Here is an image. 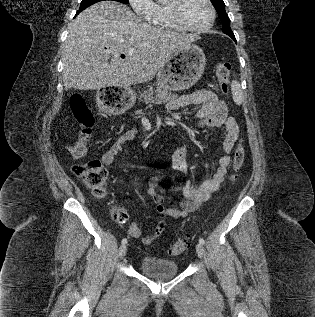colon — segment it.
<instances>
[{"label": "colon", "instance_id": "colon-1", "mask_svg": "<svg viewBox=\"0 0 315 317\" xmlns=\"http://www.w3.org/2000/svg\"><path fill=\"white\" fill-rule=\"evenodd\" d=\"M230 71L231 66L229 63H218L215 68L219 88L224 95L228 94ZM102 97H106V95H100V100ZM70 105L79 130L74 141L68 145V151L74 158H82L87 153V146L91 137L94 120L90 109L81 96H74L71 99ZM244 160V146L239 142L233 157V172L230 177L232 181L237 179L238 173L243 167ZM73 171L94 195L99 197L105 195L107 171L99 160H90L84 163L75 164L73 165ZM112 217L119 224L125 223L128 218L126 211L120 206H114L112 208ZM188 244L186 238L179 239L169 248V255L176 256L183 253Z\"/></svg>", "mask_w": 315, "mask_h": 317}]
</instances>
